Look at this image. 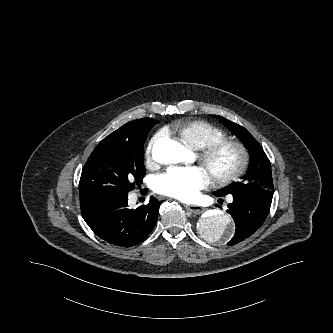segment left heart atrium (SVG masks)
Instances as JSON below:
<instances>
[{
  "mask_svg": "<svg viewBox=\"0 0 333 333\" xmlns=\"http://www.w3.org/2000/svg\"><path fill=\"white\" fill-rule=\"evenodd\" d=\"M208 183L209 175L202 167H174L158 176L155 188L163 195L190 201Z\"/></svg>",
  "mask_w": 333,
  "mask_h": 333,
  "instance_id": "obj_1",
  "label": "left heart atrium"
}]
</instances>
